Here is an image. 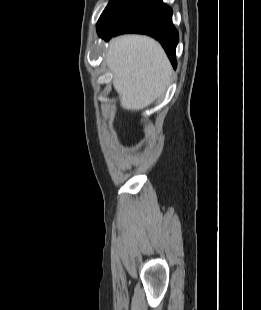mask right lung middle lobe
<instances>
[{
	"label": "right lung middle lobe",
	"mask_w": 261,
	"mask_h": 310,
	"mask_svg": "<svg viewBox=\"0 0 261 310\" xmlns=\"http://www.w3.org/2000/svg\"><path fill=\"white\" fill-rule=\"evenodd\" d=\"M131 0H110L109 4L103 11L102 15L100 16L97 28L103 27L106 25L109 20L117 14L124 6H126Z\"/></svg>",
	"instance_id": "obj_1"
}]
</instances>
